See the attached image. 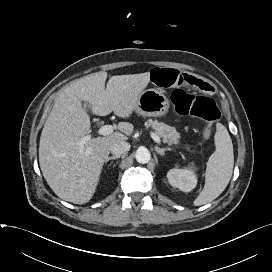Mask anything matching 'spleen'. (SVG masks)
<instances>
[{"label":"spleen","instance_id":"1","mask_svg":"<svg viewBox=\"0 0 272 272\" xmlns=\"http://www.w3.org/2000/svg\"><path fill=\"white\" fill-rule=\"evenodd\" d=\"M215 152L209 157L205 172V186L194 200L195 206L216 199L227 187L233 172L234 155L230 135L224 125L216 124Z\"/></svg>","mask_w":272,"mask_h":272}]
</instances>
